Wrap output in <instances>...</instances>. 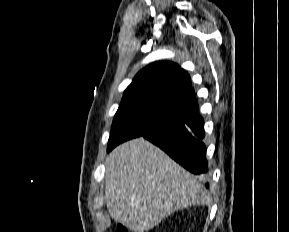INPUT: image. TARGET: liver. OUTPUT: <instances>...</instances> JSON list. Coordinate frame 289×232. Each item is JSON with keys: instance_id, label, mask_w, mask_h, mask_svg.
<instances>
[{"instance_id": "6515ba94", "label": "liver", "mask_w": 289, "mask_h": 232, "mask_svg": "<svg viewBox=\"0 0 289 232\" xmlns=\"http://www.w3.org/2000/svg\"><path fill=\"white\" fill-rule=\"evenodd\" d=\"M105 165L108 211L134 232L148 231L175 211L207 202L200 181L142 137L117 146Z\"/></svg>"}]
</instances>
